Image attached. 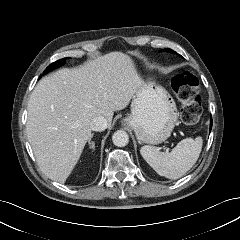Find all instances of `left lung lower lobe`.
I'll return each mask as SVG.
<instances>
[{"instance_id": "1", "label": "left lung lower lobe", "mask_w": 240, "mask_h": 240, "mask_svg": "<svg viewBox=\"0 0 240 240\" xmlns=\"http://www.w3.org/2000/svg\"><path fill=\"white\" fill-rule=\"evenodd\" d=\"M211 128H212V119H211V123H210V130H211Z\"/></svg>"}]
</instances>
